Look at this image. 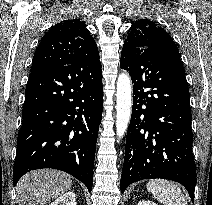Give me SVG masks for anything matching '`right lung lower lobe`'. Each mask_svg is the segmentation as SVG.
<instances>
[{"label": "right lung lower lobe", "instance_id": "right-lung-lower-lobe-1", "mask_svg": "<svg viewBox=\"0 0 212 205\" xmlns=\"http://www.w3.org/2000/svg\"><path fill=\"white\" fill-rule=\"evenodd\" d=\"M101 63L47 67L30 73L17 139L13 182L40 168L65 171L92 190L103 111Z\"/></svg>", "mask_w": 212, "mask_h": 205}]
</instances>
